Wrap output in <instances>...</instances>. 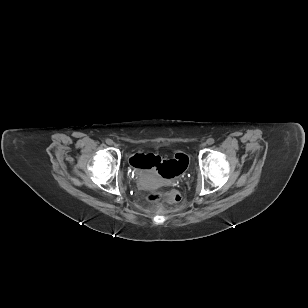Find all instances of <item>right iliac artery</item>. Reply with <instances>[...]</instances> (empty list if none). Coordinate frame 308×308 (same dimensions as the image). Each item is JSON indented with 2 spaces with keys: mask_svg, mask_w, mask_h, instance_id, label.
Masks as SVG:
<instances>
[{
  "mask_svg": "<svg viewBox=\"0 0 308 308\" xmlns=\"http://www.w3.org/2000/svg\"><path fill=\"white\" fill-rule=\"evenodd\" d=\"M106 143L111 145V143H113V141L111 139H106Z\"/></svg>",
  "mask_w": 308,
  "mask_h": 308,
  "instance_id": "1",
  "label": "right iliac artery"
}]
</instances>
